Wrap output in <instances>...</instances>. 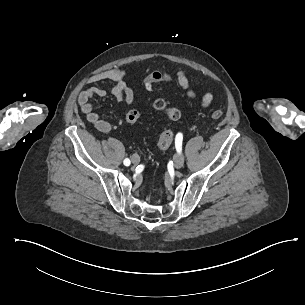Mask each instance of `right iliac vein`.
Returning <instances> with one entry per match:
<instances>
[{
	"instance_id": "1",
	"label": "right iliac vein",
	"mask_w": 305,
	"mask_h": 305,
	"mask_svg": "<svg viewBox=\"0 0 305 305\" xmlns=\"http://www.w3.org/2000/svg\"><path fill=\"white\" fill-rule=\"evenodd\" d=\"M131 161H132V163H133L134 165H137V164H139V162H140V157H139L137 154H134V155H132V157H131Z\"/></svg>"
}]
</instances>
